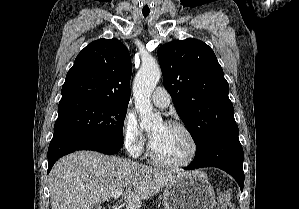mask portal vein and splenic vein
<instances>
[{
    "instance_id": "portal-vein-and-splenic-vein-1",
    "label": "portal vein and splenic vein",
    "mask_w": 299,
    "mask_h": 209,
    "mask_svg": "<svg viewBox=\"0 0 299 209\" xmlns=\"http://www.w3.org/2000/svg\"><path fill=\"white\" fill-rule=\"evenodd\" d=\"M122 194V189L121 190H117L114 194H113V198L116 199V198H119L120 195Z\"/></svg>"
}]
</instances>
